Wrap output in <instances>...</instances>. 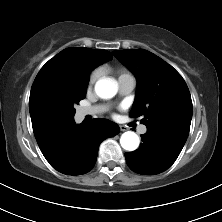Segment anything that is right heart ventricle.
<instances>
[{
  "label": "right heart ventricle",
  "instance_id": "right-heart-ventricle-1",
  "mask_svg": "<svg viewBox=\"0 0 222 222\" xmlns=\"http://www.w3.org/2000/svg\"><path fill=\"white\" fill-rule=\"evenodd\" d=\"M131 76L129 73H127L125 70H120L118 79L121 77Z\"/></svg>",
  "mask_w": 222,
  "mask_h": 222
}]
</instances>
